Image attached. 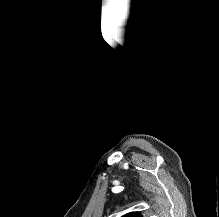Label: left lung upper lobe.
<instances>
[{
  "mask_svg": "<svg viewBox=\"0 0 219 217\" xmlns=\"http://www.w3.org/2000/svg\"><path fill=\"white\" fill-rule=\"evenodd\" d=\"M123 217H141V215L138 212H132L124 215Z\"/></svg>",
  "mask_w": 219,
  "mask_h": 217,
  "instance_id": "1",
  "label": "left lung upper lobe"
}]
</instances>
